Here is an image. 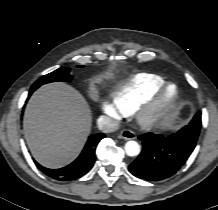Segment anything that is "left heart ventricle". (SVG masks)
I'll return each instance as SVG.
<instances>
[{
  "instance_id": "left-heart-ventricle-1",
  "label": "left heart ventricle",
  "mask_w": 218,
  "mask_h": 210,
  "mask_svg": "<svg viewBox=\"0 0 218 210\" xmlns=\"http://www.w3.org/2000/svg\"><path fill=\"white\" fill-rule=\"evenodd\" d=\"M174 94V88L173 87H170L167 91V95H166V98H171L172 95Z\"/></svg>"
}]
</instances>
